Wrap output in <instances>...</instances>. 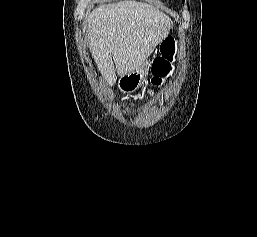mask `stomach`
Here are the masks:
<instances>
[{
    "instance_id": "0dacf381",
    "label": "stomach",
    "mask_w": 257,
    "mask_h": 237,
    "mask_svg": "<svg viewBox=\"0 0 257 237\" xmlns=\"http://www.w3.org/2000/svg\"><path fill=\"white\" fill-rule=\"evenodd\" d=\"M149 67L150 63L146 61L139 69L121 76L118 82L120 91L128 94L135 92L145 80Z\"/></svg>"
}]
</instances>
